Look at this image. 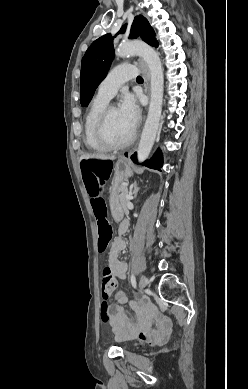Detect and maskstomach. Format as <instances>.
Returning <instances> with one entry per match:
<instances>
[{
	"label": "stomach",
	"mask_w": 248,
	"mask_h": 389,
	"mask_svg": "<svg viewBox=\"0 0 248 389\" xmlns=\"http://www.w3.org/2000/svg\"><path fill=\"white\" fill-rule=\"evenodd\" d=\"M114 178L113 184L111 185V194H110V206L112 209L113 220H123V209H121V203L119 199L118 189L122 188V182L127 181V179L132 175L133 171L131 164L120 158L114 165Z\"/></svg>",
	"instance_id": "stomach-1"
}]
</instances>
